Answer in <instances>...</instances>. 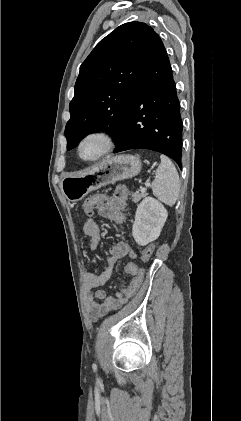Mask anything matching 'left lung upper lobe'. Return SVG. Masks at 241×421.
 <instances>
[{
    "label": "left lung upper lobe",
    "mask_w": 241,
    "mask_h": 421,
    "mask_svg": "<svg viewBox=\"0 0 241 421\" xmlns=\"http://www.w3.org/2000/svg\"><path fill=\"white\" fill-rule=\"evenodd\" d=\"M145 23L129 22L102 39L80 66L66 124L67 149L89 133L108 131L117 142L124 133L135 90L158 39Z\"/></svg>",
    "instance_id": "5c2ea615"
}]
</instances>
